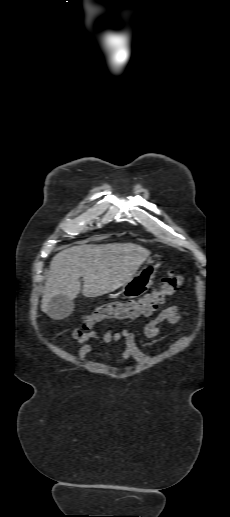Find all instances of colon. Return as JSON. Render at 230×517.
Segmentation results:
<instances>
[{"instance_id": "5ec220e1", "label": "colon", "mask_w": 230, "mask_h": 517, "mask_svg": "<svg viewBox=\"0 0 230 517\" xmlns=\"http://www.w3.org/2000/svg\"><path fill=\"white\" fill-rule=\"evenodd\" d=\"M181 282L182 277L179 274L169 272L162 279L158 289L139 300L112 301L98 306L83 317L75 331V336L81 337L104 320L126 321L151 316L169 296L176 292Z\"/></svg>"}]
</instances>
